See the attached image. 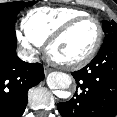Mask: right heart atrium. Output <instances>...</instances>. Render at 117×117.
Here are the masks:
<instances>
[{"label": "right heart atrium", "mask_w": 117, "mask_h": 117, "mask_svg": "<svg viewBox=\"0 0 117 117\" xmlns=\"http://www.w3.org/2000/svg\"><path fill=\"white\" fill-rule=\"evenodd\" d=\"M16 36L20 44L23 46V48L29 52L34 53L35 52V44L33 41H31L25 34L22 33L20 29H17Z\"/></svg>", "instance_id": "right-heart-atrium-1"}]
</instances>
